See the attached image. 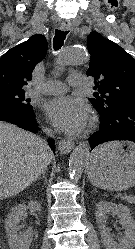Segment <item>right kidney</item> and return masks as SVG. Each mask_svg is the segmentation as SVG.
I'll list each match as a JSON object with an SVG mask.
<instances>
[{
  "label": "right kidney",
  "mask_w": 135,
  "mask_h": 249,
  "mask_svg": "<svg viewBox=\"0 0 135 249\" xmlns=\"http://www.w3.org/2000/svg\"><path fill=\"white\" fill-rule=\"evenodd\" d=\"M27 209L35 212L41 211L38 202L30 201L28 205L19 204L13 208L5 219V229L10 249H29L31 245L33 232L31 230L24 234L19 232V223L24 220Z\"/></svg>",
  "instance_id": "1"
}]
</instances>
